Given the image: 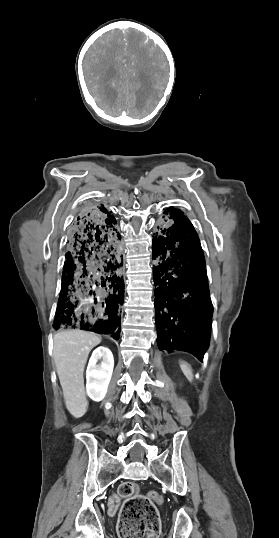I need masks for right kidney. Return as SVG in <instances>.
<instances>
[{"mask_svg": "<svg viewBox=\"0 0 279 538\" xmlns=\"http://www.w3.org/2000/svg\"><path fill=\"white\" fill-rule=\"evenodd\" d=\"M101 360V364H97ZM114 368L112 352L104 346L94 350L86 372V392L94 402H101L107 394Z\"/></svg>", "mask_w": 279, "mask_h": 538, "instance_id": "right-kidney-1", "label": "right kidney"}]
</instances>
